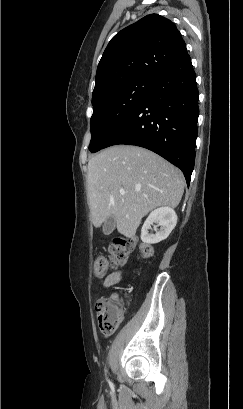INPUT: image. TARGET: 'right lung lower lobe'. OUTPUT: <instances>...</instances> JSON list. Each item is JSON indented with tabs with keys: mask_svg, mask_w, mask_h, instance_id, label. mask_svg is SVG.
Masks as SVG:
<instances>
[{
	"mask_svg": "<svg viewBox=\"0 0 243 409\" xmlns=\"http://www.w3.org/2000/svg\"><path fill=\"white\" fill-rule=\"evenodd\" d=\"M198 115L196 74L186 53L155 82L106 147L129 144L147 148L180 168L189 185Z\"/></svg>",
	"mask_w": 243,
	"mask_h": 409,
	"instance_id": "1",
	"label": "right lung lower lobe"
}]
</instances>
